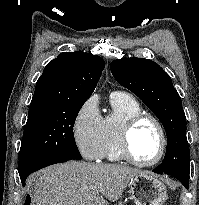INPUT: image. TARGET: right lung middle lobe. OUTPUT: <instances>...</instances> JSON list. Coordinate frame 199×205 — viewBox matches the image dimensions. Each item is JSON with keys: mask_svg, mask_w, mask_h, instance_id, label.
<instances>
[{"mask_svg": "<svg viewBox=\"0 0 199 205\" xmlns=\"http://www.w3.org/2000/svg\"><path fill=\"white\" fill-rule=\"evenodd\" d=\"M86 100L28 112L19 152V175L52 159H82L73 126Z\"/></svg>", "mask_w": 199, "mask_h": 205, "instance_id": "right-lung-middle-lobe-1", "label": "right lung middle lobe"}]
</instances>
